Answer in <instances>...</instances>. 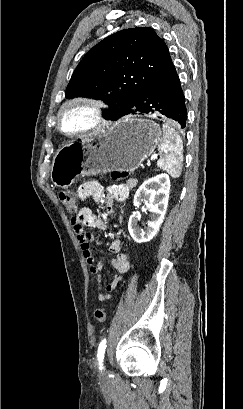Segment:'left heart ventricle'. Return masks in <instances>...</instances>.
Instances as JSON below:
<instances>
[{
	"label": "left heart ventricle",
	"mask_w": 243,
	"mask_h": 409,
	"mask_svg": "<svg viewBox=\"0 0 243 409\" xmlns=\"http://www.w3.org/2000/svg\"><path fill=\"white\" fill-rule=\"evenodd\" d=\"M93 124L91 111L84 105H73L62 116V127L68 133L85 130Z\"/></svg>",
	"instance_id": "left-heart-ventricle-1"
}]
</instances>
